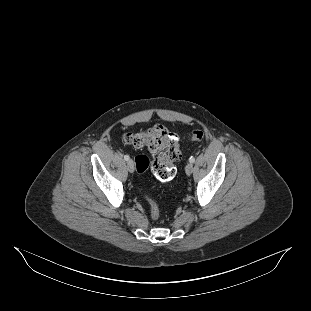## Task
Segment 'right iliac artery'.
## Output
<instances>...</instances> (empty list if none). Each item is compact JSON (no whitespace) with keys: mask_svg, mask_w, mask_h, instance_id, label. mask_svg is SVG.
<instances>
[{"mask_svg":"<svg viewBox=\"0 0 311 311\" xmlns=\"http://www.w3.org/2000/svg\"><path fill=\"white\" fill-rule=\"evenodd\" d=\"M124 159H125L126 161H128V160H129V156H128V155H125V156H124Z\"/></svg>","mask_w":311,"mask_h":311,"instance_id":"82829eb1","label":"right iliac artery"}]
</instances>
